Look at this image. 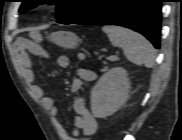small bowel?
<instances>
[{"label":"small bowel","mask_w":182,"mask_h":140,"mask_svg":"<svg viewBox=\"0 0 182 140\" xmlns=\"http://www.w3.org/2000/svg\"><path fill=\"white\" fill-rule=\"evenodd\" d=\"M18 45V61L23 69L24 77L28 84L33 88V92L36 97L40 100L41 105L45 108L51 117L55 118L58 113L57 106L54 99L51 96H46L43 89L35 84V73H34V64L29 55V53L43 55L44 50L42 47L36 43H32L25 39H20L17 42ZM80 60L84 58L83 54L78 56ZM58 66L65 68L69 65V59L65 55H60L56 59ZM96 78V74L93 71L87 69H80L78 72V77L75 78L71 85V90L76 92L80 89L83 81H93ZM73 109L75 112L74 118V130L72 132L73 138H76L79 135V131L86 136L85 140H88V137L93 136L98 128L97 120L90 112L87 107L86 101L82 97H77L73 102ZM76 140V139H72Z\"/></svg>","instance_id":"1"}]
</instances>
